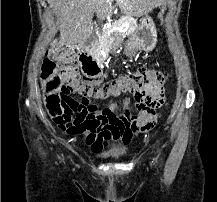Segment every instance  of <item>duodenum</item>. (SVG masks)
Here are the masks:
<instances>
[{"mask_svg":"<svg viewBox=\"0 0 217 202\" xmlns=\"http://www.w3.org/2000/svg\"><path fill=\"white\" fill-rule=\"evenodd\" d=\"M80 64L83 73L89 78H95L100 74V68L94 58L93 49L87 48L80 55Z\"/></svg>","mask_w":217,"mask_h":202,"instance_id":"duodenum-1","label":"duodenum"}]
</instances>
